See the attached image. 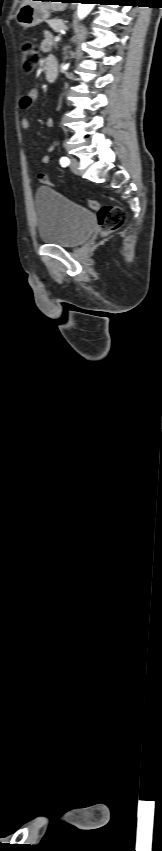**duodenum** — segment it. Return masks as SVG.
<instances>
[{"label": "duodenum", "mask_w": 162, "mask_h": 851, "mask_svg": "<svg viewBox=\"0 0 162 851\" xmlns=\"http://www.w3.org/2000/svg\"><path fill=\"white\" fill-rule=\"evenodd\" d=\"M58 66L55 58H47L45 62V75L48 82H53L57 78Z\"/></svg>", "instance_id": "1"}]
</instances>
